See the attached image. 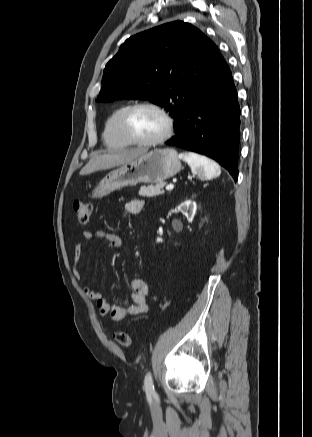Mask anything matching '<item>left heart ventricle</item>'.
<instances>
[{
    "mask_svg": "<svg viewBox=\"0 0 312 437\" xmlns=\"http://www.w3.org/2000/svg\"><path fill=\"white\" fill-rule=\"evenodd\" d=\"M129 128L140 140H151L159 137L165 130L164 119L154 110L140 108L129 120Z\"/></svg>",
    "mask_w": 312,
    "mask_h": 437,
    "instance_id": "1",
    "label": "left heart ventricle"
}]
</instances>
